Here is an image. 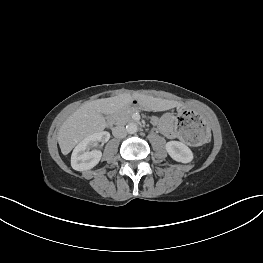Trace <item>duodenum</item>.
Returning <instances> with one entry per match:
<instances>
[{
  "label": "duodenum",
  "instance_id": "410a0bca",
  "mask_svg": "<svg viewBox=\"0 0 263 263\" xmlns=\"http://www.w3.org/2000/svg\"><path fill=\"white\" fill-rule=\"evenodd\" d=\"M107 122H108V125L109 126H113L114 125V119L112 116H109L108 119H107Z\"/></svg>",
  "mask_w": 263,
  "mask_h": 263
}]
</instances>
